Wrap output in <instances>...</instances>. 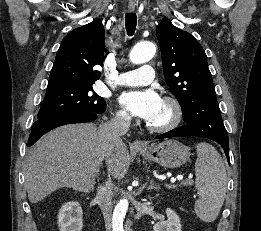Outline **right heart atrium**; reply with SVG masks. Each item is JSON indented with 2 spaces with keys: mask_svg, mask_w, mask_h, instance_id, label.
Returning <instances> with one entry per match:
<instances>
[{
  "mask_svg": "<svg viewBox=\"0 0 261 231\" xmlns=\"http://www.w3.org/2000/svg\"><path fill=\"white\" fill-rule=\"evenodd\" d=\"M130 120H131V117L126 110L119 109L116 112V115H115V118H114V121H115L116 124H118L122 127H126V126H128Z\"/></svg>",
  "mask_w": 261,
  "mask_h": 231,
  "instance_id": "1",
  "label": "right heart atrium"
}]
</instances>
